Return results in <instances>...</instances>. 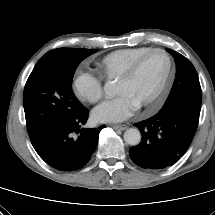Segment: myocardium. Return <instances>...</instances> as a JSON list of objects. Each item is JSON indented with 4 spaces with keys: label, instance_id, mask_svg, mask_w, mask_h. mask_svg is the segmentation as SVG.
<instances>
[{
    "label": "myocardium",
    "instance_id": "obj_1",
    "mask_svg": "<svg viewBox=\"0 0 215 215\" xmlns=\"http://www.w3.org/2000/svg\"><path fill=\"white\" fill-rule=\"evenodd\" d=\"M154 53H162L166 56L167 61H168L167 71H166L165 77H164L161 85L159 86L157 91L154 93V95L148 101L139 105V107L153 106L156 103V101L161 97L163 92L165 91V89L169 83V80H170V77L172 74V70H173V59H172L171 55L162 48H152V49L146 51L145 53L141 54L140 56H138L136 59H134L117 79L118 81L129 80L134 75V73L136 72L139 65L142 63V61L147 56L154 54Z\"/></svg>",
    "mask_w": 215,
    "mask_h": 215
}]
</instances>
